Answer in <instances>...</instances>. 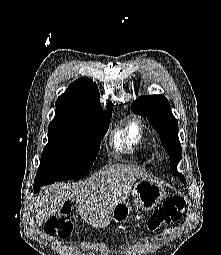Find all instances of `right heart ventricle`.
I'll return each mask as SVG.
<instances>
[{
    "label": "right heart ventricle",
    "instance_id": "e07e8e85",
    "mask_svg": "<svg viewBox=\"0 0 221 255\" xmlns=\"http://www.w3.org/2000/svg\"><path fill=\"white\" fill-rule=\"evenodd\" d=\"M146 144L144 125L135 118L123 121L114 130L111 137L112 147L119 152L132 153L144 149Z\"/></svg>",
    "mask_w": 221,
    "mask_h": 255
}]
</instances>
